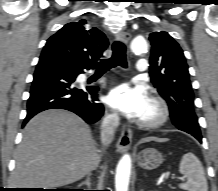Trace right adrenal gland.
I'll return each instance as SVG.
<instances>
[{"label": "right adrenal gland", "mask_w": 218, "mask_h": 191, "mask_svg": "<svg viewBox=\"0 0 218 191\" xmlns=\"http://www.w3.org/2000/svg\"><path fill=\"white\" fill-rule=\"evenodd\" d=\"M91 176H92V174L89 173L87 175V179L84 182H82L79 186L86 185L88 187H91Z\"/></svg>", "instance_id": "1"}]
</instances>
